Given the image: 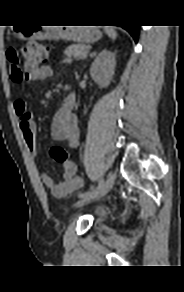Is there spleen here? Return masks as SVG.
Wrapping results in <instances>:
<instances>
[{"mask_svg":"<svg viewBox=\"0 0 184 292\" xmlns=\"http://www.w3.org/2000/svg\"><path fill=\"white\" fill-rule=\"evenodd\" d=\"M105 31L107 33V35L112 39L115 40L117 37V32L115 31V29L111 28V27H106Z\"/></svg>","mask_w":184,"mask_h":292,"instance_id":"3e777b00","label":"spleen"}]
</instances>
